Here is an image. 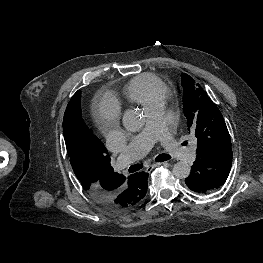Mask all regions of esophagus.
Here are the masks:
<instances>
[{
  "label": "esophagus",
  "mask_w": 263,
  "mask_h": 263,
  "mask_svg": "<svg viewBox=\"0 0 263 263\" xmlns=\"http://www.w3.org/2000/svg\"><path fill=\"white\" fill-rule=\"evenodd\" d=\"M164 164H167V162H159V163H154V164L148 165L146 167V171H151L153 168L160 166V165H164Z\"/></svg>",
  "instance_id": "34e87169"
}]
</instances>
